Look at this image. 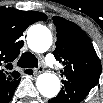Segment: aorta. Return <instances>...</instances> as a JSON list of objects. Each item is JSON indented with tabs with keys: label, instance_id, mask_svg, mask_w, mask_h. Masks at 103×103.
<instances>
[{
	"label": "aorta",
	"instance_id": "aorta-1",
	"mask_svg": "<svg viewBox=\"0 0 103 103\" xmlns=\"http://www.w3.org/2000/svg\"><path fill=\"white\" fill-rule=\"evenodd\" d=\"M27 44L36 53L46 52L52 45L50 30L41 24L31 26L27 32ZM36 86L42 96L53 98L60 91V80L55 74L43 73L38 76Z\"/></svg>",
	"mask_w": 103,
	"mask_h": 103
}]
</instances>
